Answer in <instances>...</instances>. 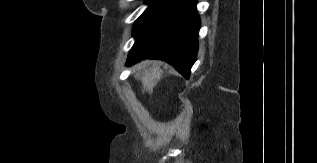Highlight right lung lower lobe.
Segmentation results:
<instances>
[{
  "label": "right lung lower lobe",
  "instance_id": "right-lung-lower-lobe-1",
  "mask_svg": "<svg viewBox=\"0 0 317 163\" xmlns=\"http://www.w3.org/2000/svg\"><path fill=\"white\" fill-rule=\"evenodd\" d=\"M199 28L196 0H179L150 27L134 36L136 40L126 65L144 58L160 59L188 79L196 61Z\"/></svg>",
  "mask_w": 317,
  "mask_h": 163
}]
</instances>
